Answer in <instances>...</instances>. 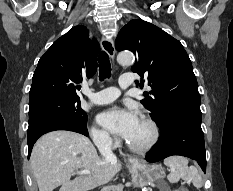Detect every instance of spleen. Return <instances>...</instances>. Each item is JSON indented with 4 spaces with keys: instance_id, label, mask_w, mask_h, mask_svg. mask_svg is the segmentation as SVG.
<instances>
[{
    "instance_id": "obj_1",
    "label": "spleen",
    "mask_w": 233,
    "mask_h": 191,
    "mask_svg": "<svg viewBox=\"0 0 233 191\" xmlns=\"http://www.w3.org/2000/svg\"><path fill=\"white\" fill-rule=\"evenodd\" d=\"M164 164L169 168L167 179L170 183H177L180 179L190 181L196 188L203 185L202 178L195 166H188V160L181 156H171L164 160ZM179 191V190H176Z\"/></svg>"
}]
</instances>
